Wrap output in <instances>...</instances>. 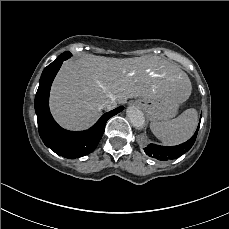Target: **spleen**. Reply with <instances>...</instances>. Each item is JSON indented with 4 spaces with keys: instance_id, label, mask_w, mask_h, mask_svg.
<instances>
[{
    "instance_id": "3e777b00",
    "label": "spleen",
    "mask_w": 229,
    "mask_h": 229,
    "mask_svg": "<svg viewBox=\"0 0 229 229\" xmlns=\"http://www.w3.org/2000/svg\"><path fill=\"white\" fill-rule=\"evenodd\" d=\"M198 125L196 109H187L178 117L168 121H153L150 124L153 134L165 145H178L187 141Z\"/></svg>"
}]
</instances>
